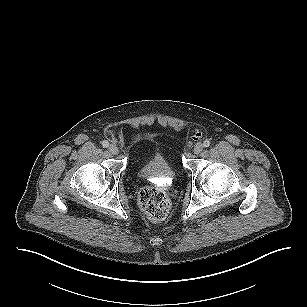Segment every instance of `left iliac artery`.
Segmentation results:
<instances>
[{
    "mask_svg": "<svg viewBox=\"0 0 307 307\" xmlns=\"http://www.w3.org/2000/svg\"><path fill=\"white\" fill-rule=\"evenodd\" d=\"M210 144H211V142H210L209 140H205V141L203 142V146H204V147H209Z\"/></svg>",
    "mask_w": 307,
    "mask_h": 307,
    "instance_id": "obj_1",
    "label": "left iliac artery"
}]
</instances>
